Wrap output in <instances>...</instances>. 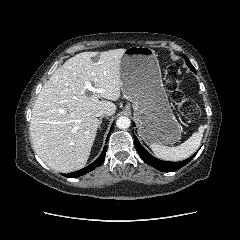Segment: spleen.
Listing matches in <instances>:
<instances>
[{"instance_id":"obj_1","label":"spleen","mask_w":240,"mask_h":240,"mask_svg":"<svg viewBox=\"0 0 240 240\" xmlns=\"http://www.w3.org/2000/svg\"><path fill=\"white\" fill-rule=\"evenodd\" d=\"M204 132V126H199L198 132L184 143L176 147H168L160 144H151L150 148L156 157L167 161H181L190 157L200 146Z\"/></svg>"}]
</instances>
